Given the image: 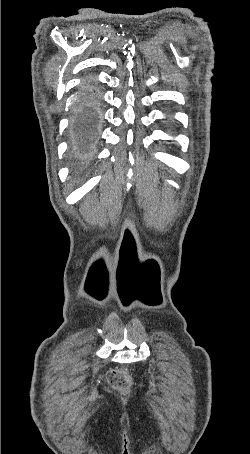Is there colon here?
<instances>
[{
  "instance_id": "1",
  "label": "colon",
  "mask_w": 250,
  "mask_h": 454,
  "mask_svg": "<svg viewBox=\"0 0 250 454\" xmlns=\"http://www.w3.org/2000/svg\"><path fill=\"white\" fill-rule=\"evenodd\" d=\"M108 382L113 389L122 394L128 393L132 384L130 375L121 369L110 371L108 373Z\"/></svg>"
}]
</instances>
